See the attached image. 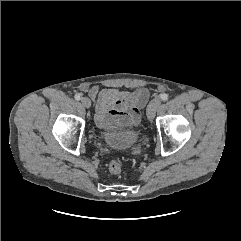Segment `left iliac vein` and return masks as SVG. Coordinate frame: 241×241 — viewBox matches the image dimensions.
Here are the masks:
<instances>
[{"label":"left iliac vein","mask_w":241,"mask_h":241,"mask_svg":"<svg viewBox=\"0 0 241 241\" xmlns=\"http://www.w3.org/2000/svg\"><path fill=\"white\" fill-rule=\"evenodd\" d=\"M160 104H161V100L159 98H155L149 103V105L147 107V111H146L147 117L149 120L154 119L156 110L158 109Z\"/></svg>","instance_id":"obj_1"}]
</instances>
